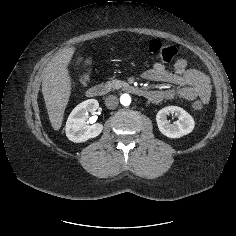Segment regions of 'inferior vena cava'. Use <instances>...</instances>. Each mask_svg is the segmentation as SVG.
<instances>
[{
	"label": "inferior vena cava",
	"mask_w": 236,
	"mask_h": 236,
	"mask_svg": "<svg viewBox=\"0 0 236 236\" xmlns=\"http://www.w3.org/2000/svg\"><path fill=\"white\" fill-rule=\"evenodd\" d=\"M118 98L115 95H109L105 99V105L109 109H115L118 106Z\"/></svg>",
	"instance_id": "602c4592"
}]
</instances>
